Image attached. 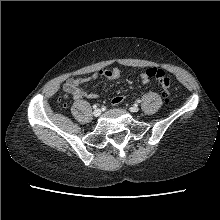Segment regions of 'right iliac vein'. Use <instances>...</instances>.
<instances>
[{"instance_id":"63e3f726","label":"right iliac vein","mask_w":220,"mask_h":220,"mask_svg":"<svg viewBox=\"0 0 220 220\" xmlns=\"http://www.w3.org/2000/svg\"><path fill=\"white\" fill-rule=\"evenodd\" d=\"M93 115H94L95 117H99V116L101 115V110H100V109L94 110Z\"/></svg>"}]
</instances>
